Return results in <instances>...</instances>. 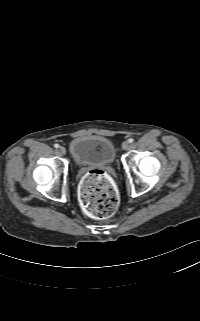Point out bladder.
I'll list each match as a JSON object with an SVG mask.
<instances>
[{"label": "bladder", "instance_id": "31cf9c89", "mask_svg": "<svg viewBox=\"0 0 200 321\" xmlns=\"http://www.w3.org/2000/svg\"><path fill=\"white\" fill-rule=\"evenodd\" d=\"M69 152L78 165H109L116 158L113 142L97 135L74 138L69 144Z\"/></svg>", "mask_w": 200, "mask_h": 321}]
</instances>
